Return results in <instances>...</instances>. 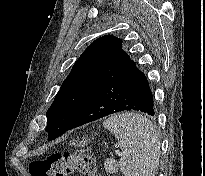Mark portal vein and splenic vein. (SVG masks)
<instances>
[{
  "label": "portal vein and splenic vein",
  "mask_w": 205,
  "mask_h": 176,
  "mask_svg": "<svg viewBox=\"0 0 205 176\" xmlns=\"http://www.w3.org/2000/svg\"><path fill=\"white\" fill-rule=\"evenodd\" d=\"M115 154L121 155V152H120L118 149H116V150H115Z\"/></svg>",
  "instance_id": "portal-vein-and-splenic-vein-1"
}]
</instances>
